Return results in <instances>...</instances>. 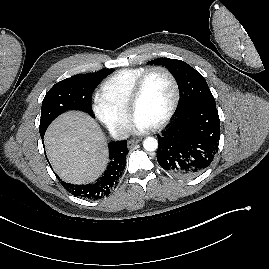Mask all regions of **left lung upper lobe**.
Listing matches in <instances>:
<instances>
[{"instance_id": "left-lung-upper-lobe-1", "label": "left lung upper lobe", "mask_w": 269, "mask_h": 269, "mask_svg": "<svg viewBox=\"0 0 269 269\" xmlns=\"http://www.w3.org/2000/svg\"><path fill=\"white\" fill-rule=\"evenodd\" d=\"M148 63L162 65L175 76L181 96L178 115L195 106H216L215 99L209 90L206 80L189 64L181 60L169 58H159Z\"/></svg>"}]
</instances>
